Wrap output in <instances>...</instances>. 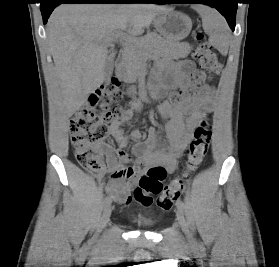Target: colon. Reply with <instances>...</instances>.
<instances>
[{"label": "colon", "mask_w": 279, "mask_h": 267, "mask_svg": "<svg viewBox=\"0 0 279 267\" xmlns=\"http://www.w3.org/2000/svg\"><path fill=\"white\" fill-rule=\"evenodd\" d=\"M196 49L193 57L202 71L194 74V81L201 86L207 79V73L219 74L222 66L212 47L205 41L200 30L193 32ZM184 95L182 92L173 93L172 102H178ZM122 99L120 82L111 78L89 97L86 104L81 106L71 117V140L78 163L87 172L96 176L104 167L102 153L105 150V139L108 136L109 124L123 118L126 111L133 106L119 104ZM212 137L211 124L207 118L197 126L189 145L188 158L185 169L180 176L170 183L163 185L164 171L159 167H150L139 180L134 191V197L143 205H150L151 195H158L157 205L162 210H169L180 197L184 183L203 161ZM120 177L128 178L133 174L130 168H120L115 171Z\"/></svg>", "instance_id": "colon-1"}]
</instances>
